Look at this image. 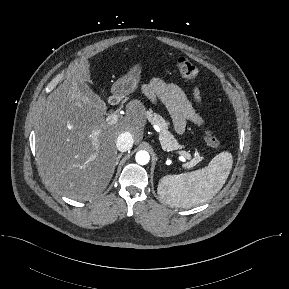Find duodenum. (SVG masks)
Returning a JSON list of instances; mask_svg holds the SVG:
<instances>
[{
	"instance_id": "duodenum-1",
	"label": "duodenum",
	"mask_w": 289,
	"mask_h": 289,
	"mask_svg": "<svg viewBox=\"0 0 289 289\" xmlns=\"http://www.w3.org/2000/svg\"><path fill=\"white\" fill-rule=\"evenodd\" d=\"M112 104H115L116 103V100L114 98L111 99L110 101Z\"/></svg>"
}]
</instances>
